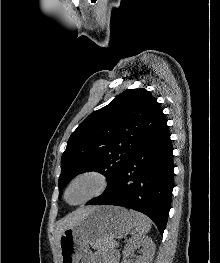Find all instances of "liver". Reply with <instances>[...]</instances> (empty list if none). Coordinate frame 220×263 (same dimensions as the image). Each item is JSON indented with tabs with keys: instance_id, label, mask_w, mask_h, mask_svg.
<instances>
[{
	"instance_id": "obj_1",
	"label": "liver",
	"mask_w": 220,
	"mask_h": 263,
	"mask_svg": "<svg viewBox=\"0 0 220 263\" xmlns=\"http://www.w3.org/2000/svg\"><path fill=\"white\" fill-rule=\"evenodd\" d=\"M96 207H85V208H81L78 209L70 214H68L67 216H65L64 218H62L61 220H59V222L57 223V227H56V240L57 243L59 244V239L61 234L68 228L73 227L74 225H76L78 222H80L90 211H92L93 209H95Z\"/></svg>"
}]
</instances>
